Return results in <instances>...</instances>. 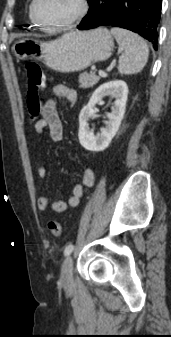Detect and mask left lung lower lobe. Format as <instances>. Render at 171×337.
Listing matches in <instances>:
<instances>
[{"label": "left lung lower lobe", "instance_id": "0a47b994", "mask_svg": "<svg viewBox=\"0 0 171 337\" xmlns=\"http://www.w3.org/2000/svg\"><path fill=\"white\" fill-rule=\"evenodd\" d=\"M162 0H93L79 30L102 25L121 27L138 33L157 49Z\"/></svg>", "mask_w": 171, "mask_h": 337}]
</instances>
